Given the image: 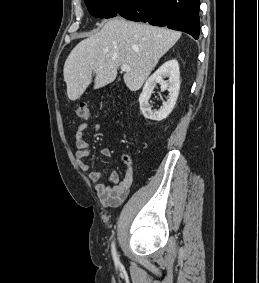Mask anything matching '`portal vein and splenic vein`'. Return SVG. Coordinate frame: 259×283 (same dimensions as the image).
<instances>
[{
	"label": "portal vein and splenic vein",
	"mask_w": 259,
	"mask_h": 283,
	"mask_svg": "<svg viewBox=\"0 0 259 283\" xmlns=\"http://www.w3.org/2000/svg\"><path fill=\"white\" fill-rule=\"evenodd\" d=\"M121 70H122V71H130L131 68H130L128 65L123 64V65H121Z\"/></svg>",
	"instance_id": "portal-vein-and-splenic-vein-1"
}]
</instances>
